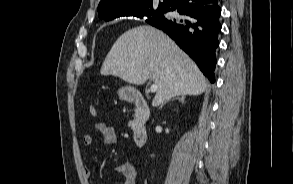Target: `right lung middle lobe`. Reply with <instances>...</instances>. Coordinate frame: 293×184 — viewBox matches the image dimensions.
Wrapping results in <instances>:
<instances>
[{
	"instance_id": "obj_1",
	"label": "right lung middle lobe",
	"mask_w": 293,
	"mask_h": 184,
	"mask_svg": "<svg viewBox=\"0 0 293 184\" xmlns=\"http://www.w3.org/2000/svg\"><path fill=\"white\" fill-rule=\"evenodd\" d=\"M163 13L164 11L160 9H157L155 11L153 9H150V10L142 11L138 14H135L134 17L141 18V19L144 17H147L148 19L146 21H154L157 19H161L163 17Z\"/></svg>"
}]
</instances>
